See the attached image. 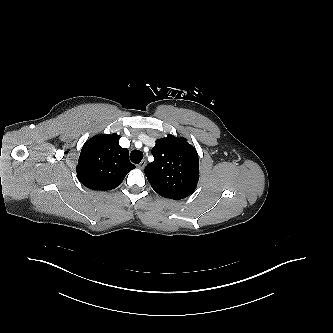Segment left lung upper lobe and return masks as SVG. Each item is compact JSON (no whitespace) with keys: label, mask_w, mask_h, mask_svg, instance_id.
I'll return each instance as SVG.
<instances>
[{"label":"left lung upper lobe","mask_w":333,"mask_h":333,"mask_svg":"<svg viewBox=\"0 0 333 333\" xmlns=\"http://www.w3.org/2000/svg\"><path fill=\"white\" fill-rule=\"evenodd\" d=\"M154 161L145 167V175L159 195L173 200L186 198L199 179V158L186 139L168 135L152 148Z\"/></svg>","instance_id":"obj_1"}]
</instances>
